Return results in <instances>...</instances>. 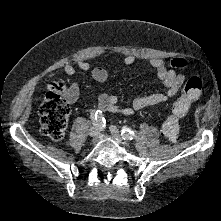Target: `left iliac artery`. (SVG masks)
I'll use <instances>...</instances> for the list:
<instances>
[{"instance_id":"left-iliac-artery-1","label":"left iliac artery","mask_w":221,"mask_h":221,"mask_svg":"<svg viewBox=\"0 0 221 221\" xmlns=\"http://www.w3.org/2000/svg\"><path fill=\"white\" fill-rule=\"evenodd\" d=\"M121 135L124 140H132L136 136V132H134L130 128L124 126L122 128Z\"/></svg>"}]
</instances>
